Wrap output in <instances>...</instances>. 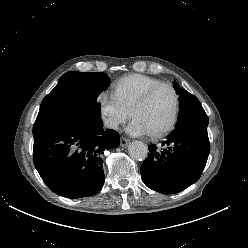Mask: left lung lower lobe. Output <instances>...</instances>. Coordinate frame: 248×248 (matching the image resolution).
<instances>
[{"mask_svg": "<svg viewBox=\"0 0 248 248\" xmlns=\"http://www.w3.org/2000/svg\"><path fill=\"white\" fill-rule=\"evenodd\" d=\"M161 146L148 147L150 153L140 168L148 188L175 194L200 178L210 152L207 126L178 127Z\"/></svg>", "mask_w": 248, "mask_h": 248, "instance_id": "0a47b994", "label": "left lung lower lobe"}]
</instances>
